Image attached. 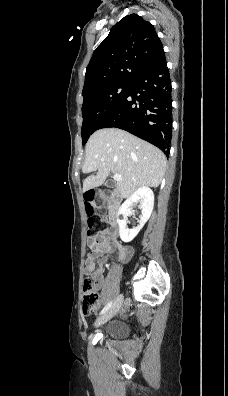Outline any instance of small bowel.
Here are the masks:
<instances>
[{"instance_id":"c3829d8e","label":"small bowel","mask_w":228,"mask_h":396,"mask_svg":"<svg viewBox=\"0 0 228 396\" xmlns=\"http://www.w3.org/2000/svg\"><path fill=\"white\" fill-rule=\"evenodd\" d=\"M117 231L115 229L110 230L106 235H100L97 242L88 241L90 252L87 255L85 262V273L92 276L96 281V286L100 289L103 285V265L104 260H100L99 267L96 268L94 260L98 257H102L104 254L117 249L120 256L125 258L132 253L130 247L121 245L117 240Z\"/></svg>"}]
</instances>
